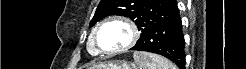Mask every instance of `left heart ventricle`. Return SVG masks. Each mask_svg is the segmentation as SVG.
I'll return each mask as SVG.
<instances>
[{
    "instance_id": "left-heart-ventricle-1",
    "label": "left heart ventricle",
    "mask_w": 246,
    "mask_h": 69,
    "mask_svg": "<svg viewBox=\"0 0 246 69\" xmlns=\"http://www.w3.org/2000/svg\"><path fill=\"white\" fill-rule=\"evenodd\" d=\"M130 37L129 29L122 23L112 21L107 23L98 33V41L102 48H119Z\"/></svg>"
}]
</instances>
